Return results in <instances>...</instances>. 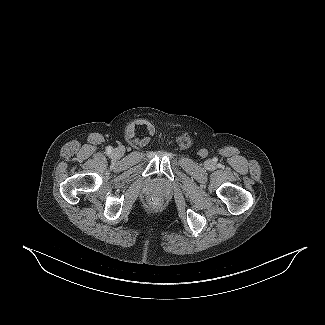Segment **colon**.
<instances>
[{
    "label": "colon",
    "instance_id": "obj_1",
    "mask_svg": "<svg viewBox=\"0 0 325 325\" xmlns=\"http://www.w3.org/2000/svg\"><path fill=\"white\" fill-rule=\"evenodd\" d=\"M150 204H151L152 206H158V204H159V200L156 199V198H152V199L150 200Z\"/></svg>",
    "mask_w": 325,
    "mask_h": 325
}]
</instances>
